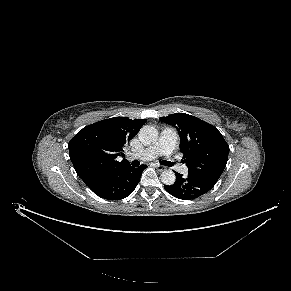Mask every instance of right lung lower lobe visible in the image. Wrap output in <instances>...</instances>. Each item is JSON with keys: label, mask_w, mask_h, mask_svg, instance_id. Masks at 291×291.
Returning <instances> with one entry per match:
<instances>
[{"label": "right lung lower lobe", "mask_w": 291, "mask_h": 291, "mask_svg": "<svg viewBox=\"0 0 291 291\" xmlns=\"http://www.w3.org/2000/svg\"><path fill=\"white\" fill-rule=\"evenodd\" d=\"M146 167L129 165L116 170H102L83 181L99 197L120 200L134 191Z\"/></svg>", "instance_id": "98d812e1"}]
</instances>
